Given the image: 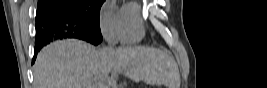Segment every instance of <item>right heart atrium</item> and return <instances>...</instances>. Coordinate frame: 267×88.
Here are the masks:
<instances>
[{
    "mask_svg": "<svg viewBox=\"0 0 267 88\" xmlns=\"http://www.w3.org/2000/svg\"><path fill=\"white\" fill-rule=\"evenodd\" d=\"M99 26L109 44L114 45L121 40V13L111 1L106 2L100 11Z\"/></svg>",
    "mask_w": 267,
    "mask_h": 88,
    "instance_id": "1",
    "label": "right heart atrium"
}]
</instances>
